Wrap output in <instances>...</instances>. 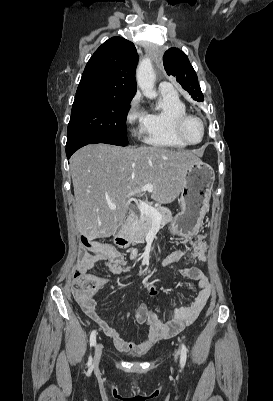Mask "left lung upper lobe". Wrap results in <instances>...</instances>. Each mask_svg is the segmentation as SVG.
Wrapping results in <instances>:
<instances>
[{
	"mask_svg": "<svg viewBox=\"0 0 273 401\" xmlns=\"http://www.w3.org/2000/svg\"><path fill=\"white\" fill-rule=\"evenodd\" d=\"M163 64L167 74L176 77L177 82L195 101H204L195 70L181 50L168 49L163 56Z\"/></svg>",
	"mask_w": 273,
	"mask_h": 401,
	"instance_id": "1",
	"label": "left lung upper lobe"
}]
</instances>
